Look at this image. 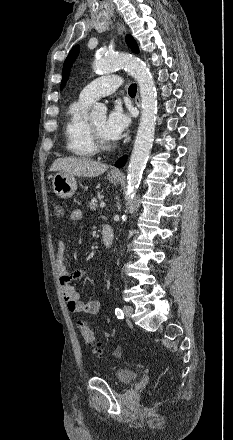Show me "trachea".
Segmentation results:
<instances>
[{"mask_svg": "<svg viewBox=\"0 0 233 440\" xmlns=\"http://www.w3.org/2000/svg\"><path fill=\"white\" fill-rule=\"evenodd\" d=\"M136 91H137L136 84H131L128 89L129 95H131V96L136 95Z\"/></svg>", "mask_w": 233, "mask_h": 440, "instance_id": "1", "label": "trachea"}]
</instances>
